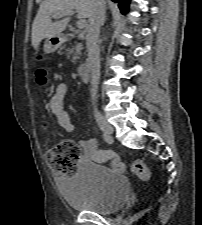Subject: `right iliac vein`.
<instances>
[{
  "mask_svg": "<svg viewBox=\"0 0 202 225\" xmlns=\"http://www.w3.org/2000/svg\"><path fill=\"white\" fill-rule=\"evenodd\" d=\"M95 119L98 126L104 132L105 135L110 136L113 133L112 126L106 121V119L100 113L95 114Z\"/></svg>",
  "mask_w": 202,
  "mask_h": 225,
  "instance_id": "1",
  "label": "right iliac vein"
}]
</instances>
